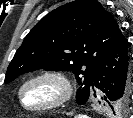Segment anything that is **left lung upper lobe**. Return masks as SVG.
Instances as JSON below:
<instances>
[{
  "label": "left lung upper lobe",
  "mask_w": 133,
  "mask_h": 118,
  "mask_svg": "<svg viewBox=\"0 0 133 118\" xmlns=\"http://www.w3.org/2000/svg\"><path fill=\"white\" fill-rule=\"evenodd\" d=\"M119 31L117 21L96 0H75L60 6L27 34L7 68L5 83L38 69L72 71L82 84L77 103L85 104L93 71ZM98 102L116 115L127 110L130 97Z\"/></svg>",
  "instance_id": "5c2ea615"
}]
</instances>
